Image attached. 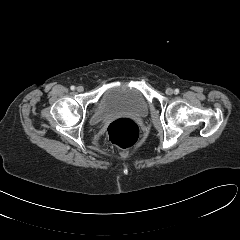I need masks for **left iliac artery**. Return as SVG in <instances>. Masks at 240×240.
I'll return each mask as SVG.
<instances>
[{"instance_id":"44dca946","label":"left iliac artery","mask_w":240,"mask_h":240,"mask_svg":"<svg viewBox=\"0 0 240 240\" xmlns=\"http://www.w3.org/2000/svg\"><path fill=\"white\" fill-rule=\"evenodd\" d=\"M174 93H175V94H178V93H179V89H175V90H174Z\"/></svg>"}]
</instances>
